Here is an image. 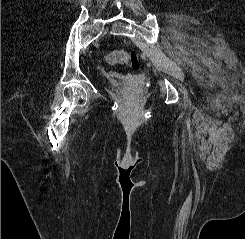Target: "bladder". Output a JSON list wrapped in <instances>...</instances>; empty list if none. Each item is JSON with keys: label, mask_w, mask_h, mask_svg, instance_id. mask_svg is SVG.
Here are the masks:
<instances>
[{"label": "bladder", "mask_w": 245, "mask_h": 239, "mask_svg": "<svg viewBox=\"0 0 245 239\" xmlns=\"http://www.w3.org/2000/svg\"><path fill=\"white\" fill-rule=\"evenodd\" d=\"M113 87H115L116 89H127L129 87L135 86L134 83L130 82L127 79H120L118 81H114L112 83Z\"/></svg>", "instance_id": "31cf9c89"}]
</instances>
